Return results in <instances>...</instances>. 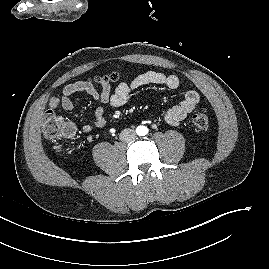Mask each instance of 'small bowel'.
Returning <instances> with one entry per match:
<instances>
[{
	"label": "small bowel",
	"mask_w": 269,
	"mask_h": 269,
	"mask_svg": "<svg viewBox=\"0 0 269 269\" xmlns=\"http://www.w3.org/2000/svg\"><path fill=\"white\" fill-rule=\"evenodd\" d=\"M101 79L98 77L97 80ZM100 88L97 89L90 81H76L67 84L61 91L59 97H52L48 102V111L53 112L59 107L65 111L73 109L72 95L78 92H85L99 103L94 112L93 119L82 126L85 133L91 132L95 128H102L105 125L104 106L112 108L123 106L129 95L136 89L147 85H161L169 89H176L180 85V79L174 74L166 75L162 72L147 71L139 74L130 82H121L114 90L109 83L98 81ZM200 96L195 90L187 91L180 103L170 107L165 113V120L171 125H179L189 113L199 104ZM75 126L72 123L67 125V137L73 136Z\"/></svg>",
	"instance_id": "obj_1"
}]
</instances>
